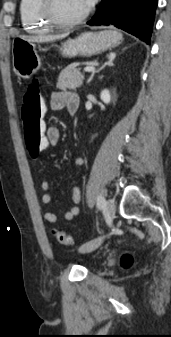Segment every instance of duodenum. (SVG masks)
I'll return each instance as SVG.
<instances>
[{"mask_svg":"<svg viewBox=\"0 0 171 337\" xmlns=\"http://www.w3.org/2000/svg\"><path fill=\"white\" fill-rule=\"evenodd\" d=\"M78 110V105L77 104H72L69 106L68 111L71 115H75Z\"/></svg>","mask_w":171,"mask_h":337,"instance_id":"duodenum-1","label":"duodenum"}]
</instances>
